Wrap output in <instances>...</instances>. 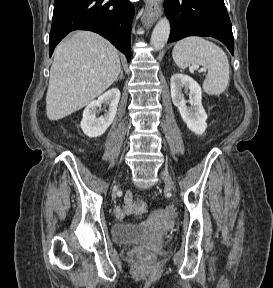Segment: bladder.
<instances>
[{"label":"bladder","instance_id":"1","mask_svg":"<svg viewBox=\"0 0 273 288\" xmlns=\"http://www.w3.org/2000/svg\"><path fill=\"white\" fill-rule=\"evenodd\" d=\"M112 238L119 245L152 243L159 239L150 229L129 224H116L112 229Z\"/></svg>","mask_w":273,"mask_h":288}]
</instances>
